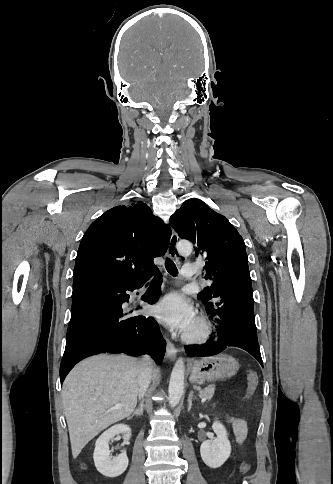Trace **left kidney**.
Here are the masks:
<instances>
[{
    "mask_svg": "<svg viewBox=\"0 0 333 484\" xmlns=\"http://www.w3.org/2000/svg\"><path fill=\"white\" fill-rule=\"evenodd\" d=\"M217 437L201 444L200 454L203 462L210 468L221 467L231 454V444L227 431L220 422L215 421L212 426Z\"/></svg>",
    "mask_w": 333,
    "mask_h": 484,
    "instance_id": "obj_1",
    "label": "left kidney"
}]
</instances>
